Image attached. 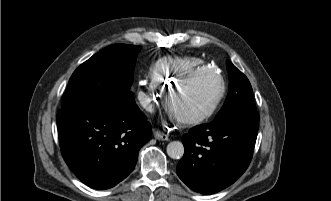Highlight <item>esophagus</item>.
Listing matches in <instances>:
<instances>
[{
  "label": "esophagus",
  "mask_w": 331,
  "mask_h": 201,
  "mask_svg": "<svg viewBox=\"0 0 331 201\" xmlns=\"http://www.w3.org/2000/svg\"><path fill=\"white\" fill-rule=\"evenodd\" d=\"M154 137H155V139H157V140H162V141H166V140H168V135L165 134V133H163V132H161V131H159V130H156V131L154 132Z\"/></svg>",
  "instance_id": "esophagus-1"
}]
</instances>
